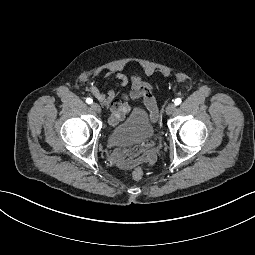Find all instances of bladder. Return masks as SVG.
Here are the masks:
<instances>
[{"label": "bladder", "mask_w": 255, "mask_h": 255, "mask_svg": "<svg viewBox=\"0 0 255 255\" xmlns=\"http://www.w3.org/2000/svg\"><path fill=\"white\" fill-rule=\"evenodd\" d=\"M156 137V126L149 113L135 107L125 119L111 127L107 133V141L115 147H132L149 143Z\"/></svg>", "instance_id": "obj_1"}]
</instances>
